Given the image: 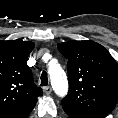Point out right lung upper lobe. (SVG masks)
Segmentation results:
<instances>
[{
    "label": "right lung upper lobe",
    "instance_id": "cb5924a9",
    "mask_svg": "<svg viewBox=\"0 0 118 118\" xmlns=\"http://www.w3.org/2000/svg\"><path fill=\"white\" fill-rule=\"evenodd\" d=\"M33 48L19 39L0 41V118H26L42 95L26 63Z\"/></svg>",
    "mask_w": 118,
    "mask_h": 118
}]
</instances>
